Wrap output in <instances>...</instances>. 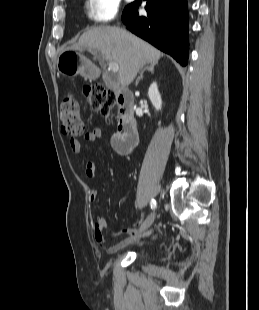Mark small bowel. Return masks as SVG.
I'll return each instance as SVG.
<instances>
[{
  "mask_svg": "<svg viewBox=\"0 0 259 310\" xmlns=\"http://www.w3.org/2000/svg\"><path fill=\"white\" fill-rule=\"evenodd\" d=\"M102 134H103L102 129L99 127H96L92 129L90 132L86 133L84 136V139L86 142L94 143L102 137ZM70 147L73 153L75 154L81 153L82 145L80 141L76 139H71ZM80 164L84 168L85 174L88 178L96 177V167H95V163L93 160L87 159L82 156L80 157ZM97 197H98V192L96 190H92L89 196L90 200L95 201ZM107 225L108 223L105 218L103 217L97 218L93 224V234H94L96 243L108 253H115V252L120 251L121 249L131 246L132 244H134L140 239L142 233L144 232V231H140V229L135 230L132 228H126L122 231V234H126L127 237L113 246H108L104 238V234H103V231L107 227ZM146 234L154 237L156 235V231L152 229L146 232ZM114 235L116 236L118 234L114 233Z\"/></svg>",
  "mask_w": 259,
  "mask_h": 310,
  "instance_id": "c3829d8e",
  "label": "small bowel"
}]
</instances>
